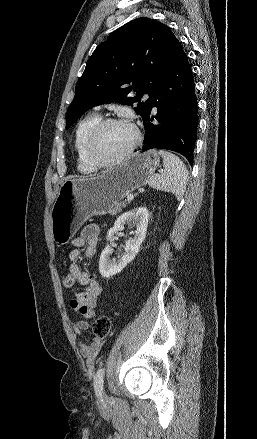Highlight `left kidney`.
I'll use <instances>...</instances> for the list:
<instances>
[{"mask_svg":"<svg viewBox=\"0 0 257 439\" xmlns=\"http://www.w3.org/2000/svg\"><path fill=\"white\" fill-rule=\"evenodd\" d=\"M149 221V212L145 207H139L134 211H129L117 218L114 226L108 230L107 241L113 240V235L122 231L126 224L135 226L134 237L129 238L125 244V253L116 260L111 259L112 250L109 244L104 248L99 259V272L104 278H110L121 272L139 252L140 246L146 237Z\"/></svg>","mask_w":257,"mask_h":439,"instance_id":"obj_1","label":"left kidney"}]
</instances>
